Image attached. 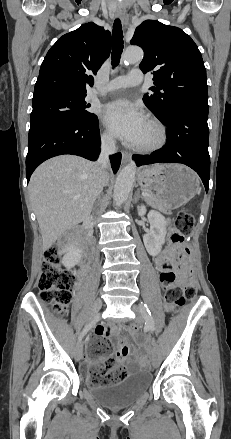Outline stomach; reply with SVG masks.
Returning <instances> with one entry per match:
<instances>
[{"instance_id": "obj_1", "label": "stomach", "mask_w": 231, "mask_h": 439, "mask_svg": "<svg viewBox=\"0 0 231 439\" xmlns=\"http://www.w3.org/2000/svg\"><path fill=\"white\" fill-rule=\"evenodd\" d=\"M139 184L155 191L162 210L178 208L200 190L197 174L179 164H161L144 168L138 175Z\"/></svg>"}]
</instances>
